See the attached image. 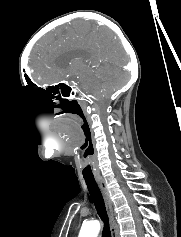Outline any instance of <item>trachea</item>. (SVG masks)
Returning a JSON list of instances; mask_svg holds the SVG:
<instances>
[{
	"instance_id": "trachea-1",
	"label": "trachea",
	"mask_w": 181,
	"mask_h": 237,
	"mask_svg": "<svg viewBox=\"0 0 181 237\" xmlns=\"http://www.w3.org/2000/svg\"><path fill=\"white\" fill-rule=\"evenodd\" d=\"M84 179L88 187L89 193L91 195V198L95 204L97 213L104 223L102 237H111L110 228H109V220H108L104 200L100 192V189L96 183V180L94 178H87V177H84Z\"/></svg>"
}]
</instances>
